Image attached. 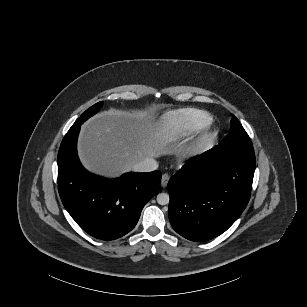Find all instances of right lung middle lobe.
<instances>
[{
    "label": "right lung middle lobe",
    "mask_w": 307,
    "mask_h": 307,
    "mask_svg": "<svg viewBox=\"0 0 307 307\" xmlns=\"http://www.w3.org/2000/svg\"><path fill=\"white\" fill-rule=\"evenodd\" d=\"M103 102H98L95 105L91 106L89 109H87L78 119L75 123H83L88 118L96 114L100 108L102 107Z\"/></svg>",
    "instance_id": "1"
}]
</instances>
